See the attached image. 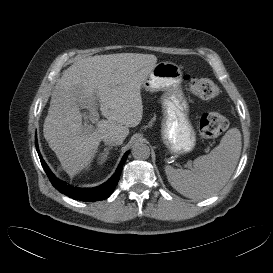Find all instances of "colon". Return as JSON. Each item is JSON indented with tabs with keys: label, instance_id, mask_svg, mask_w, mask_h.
Listing matches in <instances>:
<instances>
[{
	"label": "colon",
	"instance_id": "1",
	"mask_svg": "<svg viewBox=\"0 0 273 273\" xmlns=\"http://www.w3.org/2000/svg\"><path fill=\"white\" fill-rule=\"evenodd\" d=\"M186 80L194 96L202 100H209L218 94L216 84L204 77L187 76ZM228 122L224 115L219 112L203 114L200 120V133L204 138H216L227 128Z\"/></svg>",
	"mask_w": 273,
	"mask_h": 273
}]
</instances>
